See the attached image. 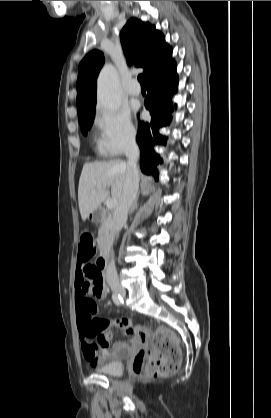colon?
I'll use <instances>...</instances> for the list:
<instances>
[{"mask_svg":"<svg viewBox=\"0 0 271 418\" xmlns=\"http://www.w3.org/2000/svg\"><path fill=\"white\" fill-rule=\"evenodd\" d=\"M96 253V244L88 231L79 240L78 260L85 263ZM181 362V353L175 335L166 328L155 331L152 342L140 350L133 361V371L139 376L161 378L175 373Z\"/></svg>","mask_w":271,"mask_h":418,"instance_id":"colon-1","label":"colon"}]
</instances>
